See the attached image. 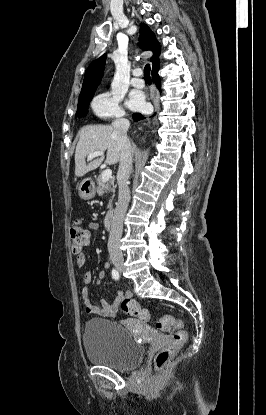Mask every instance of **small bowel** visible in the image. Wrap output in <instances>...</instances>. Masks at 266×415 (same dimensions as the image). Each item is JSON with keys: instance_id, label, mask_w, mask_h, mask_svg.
Listing matches in <instances>:
<instances>
[{"instance_id": "c3829d8e", "label": "small bowel", "mask_w": 266, "mask_h": 415, "mask_svg": "<svg viewBox=\"0 0 266 415\" xmlns=\"http://www.w3.org/2000/svg\"><path fill=\"white\" fill-rule=\"evenodd\" d=\"M90 228L92 230H98L99 224L96 222H93L90 224ZM76 263L79 267H83L86 264V255L83 252L77 253ZM109 267H110L109 263L104 264V269L101 270L98 274V277H99L98 283L106 277V271L109 269ZM82 282H83L84 287L82 290L81 297H82L85 311L89 314H95V315L102 316V317H114L118 311L120 303L125 298H131L130 292L128 291L119 292L117 294V297L113 301H107L103 299L101 301V307H96L92 305L91 298H90L89 285L92 282V275L90 272H86L83 275Z\"/></svg>"}]
</instances>
